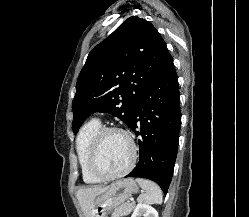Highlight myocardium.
Listing matches in <instances>:
<instances>
[{"instance_id":"myocardium-1","label":"myocardium","mask_w":249,"mask_h":217,"mask_svg":"<svg viewBox=\"0 0 249 217\" xmlns=\"http://www.w3.org/2000/svg\"><path fill=\"white\" fill-rule=\"evenodd\" d=\"M108 133H119L123 135L128 140L130 147H131V158H130L128 165L123 170L117 173H113V174H108V173L103 172L99 168L98 163H97L98 152H99L101 141L103 137ZM136 160H137V146L135 144V141L133 140L132 136L122 128L102 127L96 133V135L94 136L91 142L90 149H89V155H88L89 169L93 173V175H95L97 178L103 181L114 180V179H118V178L125 176L135 166Z\"/></svg>"}]
</instances>
